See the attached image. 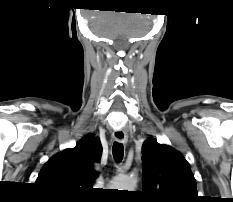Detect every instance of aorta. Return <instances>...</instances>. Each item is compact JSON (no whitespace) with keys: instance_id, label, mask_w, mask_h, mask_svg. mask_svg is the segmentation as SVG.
I'll use <instances>...</instances> for the list:
<instances>
[{"instance_id":"aorta-1","label":"aorta","mask_w":233,"mask_h":202,"mask_svg":"<svg viewBox=\"0 0 233 202\" xmlns=\"http://www.w3.org/2000/svg\"><path fill=\"white\" fill-rule=\"evenodd\" d=\"M137 179L132 176H118L114 178L112 186L118 190H129L133 191L136 187Z\"/></svg>"}]
</instances>
